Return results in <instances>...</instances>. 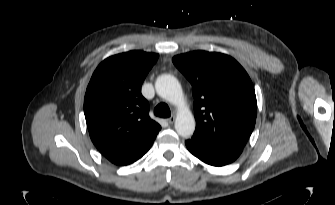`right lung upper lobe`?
<instances>
[{"mask_svg": "<svg viewBox=\"0 0 335 205\" xmlns=\"http://www.w3.org/2000/svg\"><path fill=\"white\" fill-rule=\"evenodd\" d=\"M159 55L130 51L105 59L86 90L84 113L97 149L112 163L128 165L152 146L161 126L149 115L141 85Z\"/></svg>", "mask_w": 335, "mask_h": 205, "instance_id": "obj_1", "label": "right lung upper lobe"}]
</instances>
